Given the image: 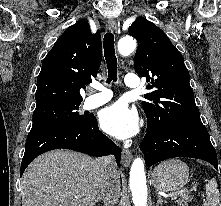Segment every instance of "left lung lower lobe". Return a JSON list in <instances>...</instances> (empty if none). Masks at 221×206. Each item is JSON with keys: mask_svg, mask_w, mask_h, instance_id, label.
I'll return each instance as SVG.
<instances>
[{"mask_svg": "<svg viewBox=\"0 0 221 206\" xmlns=\"http://www.w3.org/2000/svg\"><path fill=\"white\" fill-rule=\"evenodd\" d=\"M147 167L174 157L205 160L218 169L217 156L206 127H171L147 133L140 144Z\"/></svg>", "mask_w": 221, "mask_h": 206, "instance_id": "0a47b994", "label": "left lung lower lobe"}]
</instances>
